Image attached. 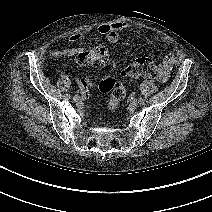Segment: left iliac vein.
Returning a JSON list of instances; mask_svg holds the SVG:
<instances>
[{
  "label": "left iliac vein",
  "instance_id": "1",
  "mask_svg": "<svg viewBox=\"0 0 212 212\" xmlns=\"http://www.w3.org/2000/svg\"><path fill=\"white\" fill-rule=\"evenodd\" d=\"M138 105H139L138 101L137 100H134V101L131 102V105L130 106H131V108L135 109V108L138 107Z\"/></svg>",
  "mask_w": 212,
  "mask_h": 212
}]
</instances>
